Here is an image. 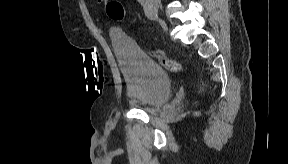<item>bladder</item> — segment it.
<instances>
[{"label": "bladder", "instance_id": "1", "mask_svg": "<svg viewBox=\"0 0 288 164\" xmlns=\"http://www.w3.org/2000/svg\"><path fill=\"white\" fill-rule=\"evenodd\" d=\"M112 40L123 69L129 100L137 109L147 113L164 107L172 96L166 71L149 61L139 48L121 35L113 34Z\"/></svg>", "mask_w": 288, "mask_h": 164}]
</instances>
